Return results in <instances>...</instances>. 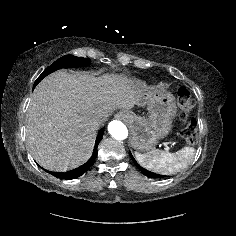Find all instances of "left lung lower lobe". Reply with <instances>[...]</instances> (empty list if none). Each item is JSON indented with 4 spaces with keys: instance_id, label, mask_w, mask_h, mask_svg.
<instances>
[{
    "instance_id": "obj_1",
    "label": "left lung lower lobe",
    "mask_w": 236,
    "mask_h": 236,
    "mask_svg": "<svg viewBox=\"0 0 236 236\" xmlns=\"http://www.w3.org/2000/svg\"><path fill=\"white\" fill-rule=\"evenodd\" d=\"M130 154V157L132 159V161L135 163V165L138 167V169L144 174L146 175L147 177H150V178H159V177H164V176H161L159 174H155V173H152L150 171H147L145 170L144 168H142L137 162L136 160L133 158L132 154L129 152Z\"/></svg>"
}]
</instances>
